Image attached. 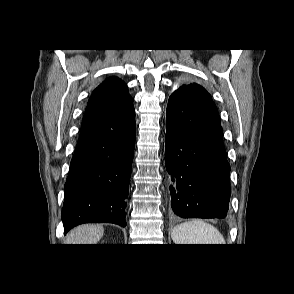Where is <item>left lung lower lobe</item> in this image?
<instances>
[{
  "mask_svg": "<svg viewBox=\"0 0 294 294\" xmlns=\"http://www.w3.org/2000/svg\"><path fill=\"white\" fill-rule=\"evenodd\" d=\"M165 164L171 207L182 218H224L230 200V165L214 102L170 96Z\"/></svg>",
  "mask_w": 294,
  "mask_h": 294,
  "instance_id": "left-lung-lower-lobe-1",
  "label": "left lung lower lobe"
}]
</instances>
